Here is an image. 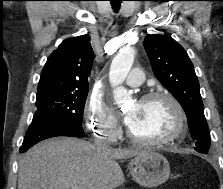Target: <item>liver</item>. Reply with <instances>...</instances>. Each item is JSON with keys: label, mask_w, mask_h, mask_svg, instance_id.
I'll list each match as a JSON object with an SVG mask.
<instances>
[{"label": "liver", "mask_w": 223, "mask_h": 189, "mask_svg": "<svg viewBox=\"0 0 223 189\" xmlns=\"http://www.w3.org/2000/svg\"><path fill=\"white\" fill-rule=\"evenodd\" d=\"M139 149L98 150L84 140L52 138L29 149L19 161L18 189H114L124 183L115 161L140 154Z\"/></svg>", "instance_id": "1"}]
</instances>
